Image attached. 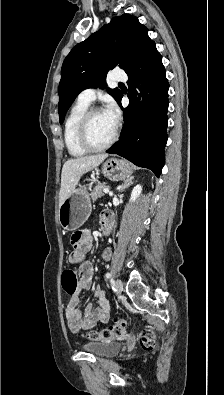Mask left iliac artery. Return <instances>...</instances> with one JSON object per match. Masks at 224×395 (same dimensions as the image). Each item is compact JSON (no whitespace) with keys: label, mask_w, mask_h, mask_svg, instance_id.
Listing matches in <instances>:
<instances>
[{"label":"left iliac artery","mask_w":224,"mask_h":395,"mask_svg":"<svg viewBox=\"0 0 224 395\" xmlns=\"http://www.w3.org/2000/svg\"><path fill=\"white\" fill-rule=\"evenodd\" d=\"M111 277H112L111 273L106 274V278H111Z\"/></svg>","instance_id":"obj_1"}]
</instances>
